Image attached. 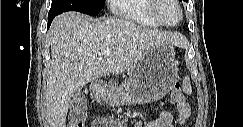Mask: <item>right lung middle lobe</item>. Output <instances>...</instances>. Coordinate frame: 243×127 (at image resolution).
I'll list each match as a JSON object with an SVG mask.
<instances>
[{
    "instance_id": "1",
    "label": "right lung middle lobe",
    "mask_w": 243,
    "mask_h": 127,
    "mask_svg": "<svg viewBox=\"0 0 243 127\" xmlns=\"http://www.w3.org/2000/svg\"><path fill=\"white\" fill-rule=\"evenodd\" d=\"M103 6V0H52L49 15L57 16L66 11H78L95 16Z\"/></svg>"
}]
</instances>
